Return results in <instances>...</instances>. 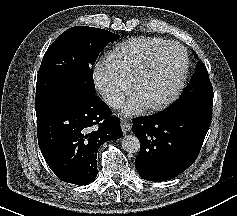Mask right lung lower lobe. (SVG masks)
Wrapping results in <instances>:
<instances>
[{"label":"right lung lower lobe","mask_w":237,"mask_h":216,"mask_svg":"<svg viewBox=\"0 0 237 216\" xmlns=\"http://www.w3.org/2000/svg\"><path fill=\"white\" fill-rule=\"evenodd\" d=\"M42 155L62 181L88 185L97 176V151L122 137L120 121L96 95L73 91L36 111Z\"/></svg>","instance_id":"obj_1"}]
</instances>
